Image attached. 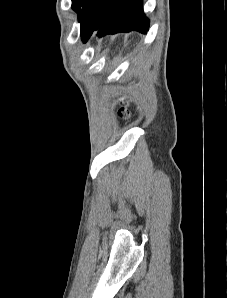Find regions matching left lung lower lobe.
<instances>
[{
    "mask_svg": "<svg viewBox=\"0 0 227 298\" xmlns=\"http://www.w3.org/2000/svg\"><path fill=\"white\" fill-rule=\"evenodd\" d=\"M142 4V0H107L100 19L82 40L86 42L93 32H97L99 37L130 31L146 34L149 20L143 12Z\"/></svg>",
    "mask_w": 227,
    "mask_h": 298,
    "instance_id": "left-lung-lower-lobe-1",
    "label": "left lung lower lobe"
}]
</instances>
